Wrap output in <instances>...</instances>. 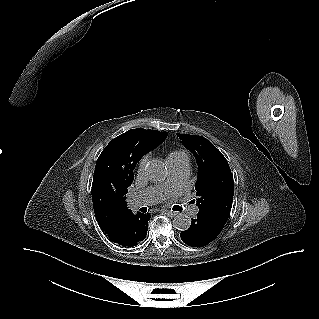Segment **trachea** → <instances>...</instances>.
I'll return each instance as SVG.
<instances>
[{
	"label": "trachea",
	"mask_w": 319,
	"mask_h": 319,
	"mask_svg": "<svg viewBox=\"0 0 319 319\" xmlns=\"http://www.w3.org/2000/svg\"><path fill=\"white\" fill-rule=\"evenodd\" d=\"M173 210H174V211H181L182 208H181L180 206H174V207H173Z\"/></svg>",
	"instance_id": "obj_1"
}]
</instances>
